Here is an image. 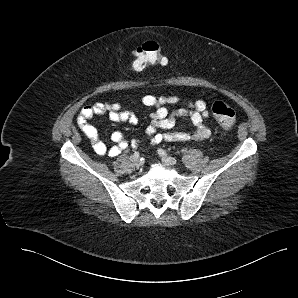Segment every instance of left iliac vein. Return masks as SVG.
<instances>
[{"label":"left iliac vein","instance_id":"1","mask_svg":"<svg viewBox=\"0 0 298 298\" xmlns=\"http://www.w3.org/2000/svg\"><path fill=\"white\" fill-rule=\"evenodd\" d=\"M162 161L170 165H175L177 163L176 159L171 156H162Z\"/></svg>","mask_w":298,"mask_h":298}]
</instances>
